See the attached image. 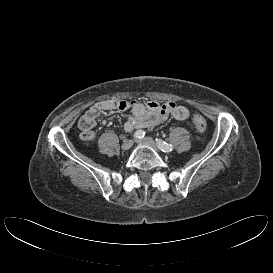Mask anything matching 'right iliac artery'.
<instances>
[{
    "label": "right iliac artery",
    "instance_id": "obj_1",
    "mask_svg": "<svg viewBox=\"0 0 273 273\" xmlns=\"http://www.w3.org/2000/svg\"><path fill=\"white\" fill-rule=\"evenodd\" d=\"M145 136V132L143 131V130H137L135 133H134V135H133V137L135 138V139H141V138H143Z\"/></svg>",
    "mask_w": 273,
    "mask_h": 273
}]
</instances>
